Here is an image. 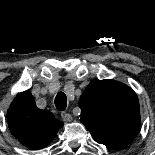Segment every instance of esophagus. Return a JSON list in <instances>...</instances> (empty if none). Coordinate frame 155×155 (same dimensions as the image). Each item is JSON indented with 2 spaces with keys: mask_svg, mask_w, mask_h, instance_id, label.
<instances>
[{
  "mask_svg": "<svg viewBox=\"0 0 155 155\" xmlns=\"http://www.w3.org/2000/svg\"><path fill=\"white\" fill-rule=\"evenodd\" d=\"M61 117H62L63 121H65V122H70V121H72V116H71V114H69V113H67V112H62V113H61Z\"/></svg>",
  "mask_w": 155,
  "mask_h": 155,
  "instance_id": "34e87169",
  "label": "esophagus"
}]
</instances>
